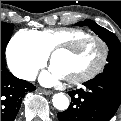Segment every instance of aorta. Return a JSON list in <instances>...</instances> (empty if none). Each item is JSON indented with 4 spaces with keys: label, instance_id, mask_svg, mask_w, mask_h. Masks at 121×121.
<instances>
[{
    "label": "aorta",
    "instance_id": "762f6f07",
    "mask_svg": "<svg viewBox=\"0 0 121 121\" xmlns=\"http://www.w3.org/2000/svg\"><path fill=\"white\" fill-rule=\"evenodd\" d=\"M53 106L58 110H66L69 106V99L64 93H56L52 99Z\"/></svg>",
    "mask_w": 121,
    "mask_h": 121
}]
</instances>
